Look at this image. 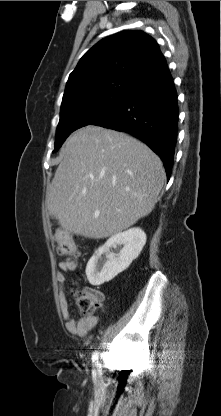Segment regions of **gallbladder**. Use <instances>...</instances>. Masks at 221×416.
<instances>
[{"instance_id": "bac80fb5", "label": "gallbladder", "mask_w": 221, "mask_h": 416, "mask_svg": "<svg viewBox=\"0 0 221 416\" xmlns=\"http://www.w3.org/2000/svg\"><path fill=\"white\" fill-rule=\"evenodd\" d=\"M50 217H51L52 219H55V218H56V216H55L54 214H50Z\"/></svg>"}]
</instances>
